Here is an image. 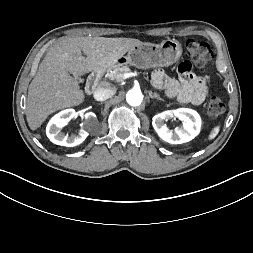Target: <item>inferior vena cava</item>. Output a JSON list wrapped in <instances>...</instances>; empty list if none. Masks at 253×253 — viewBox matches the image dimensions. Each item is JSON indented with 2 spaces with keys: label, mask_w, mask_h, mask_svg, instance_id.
Masks as SVG:
<instances>
[{
  "label": "inferior vena cava",
  "mask_w": 253,
  "mask_h": 253,
  "mask_svg": "<svg viewBox=\"0 0 253 253\" xmlns=\"http://www.w3.org/2000/svg\"><path fill=\"white\" fill-rule=\"evenodd\" d=\"M115 94V91L108 88H97L94 92V99L96 101H105L108 98L112 97Z\"/></svg>",
  "instance_id": "602c4592"
}]
</instances>
